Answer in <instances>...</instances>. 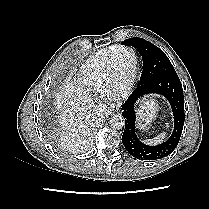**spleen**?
<instances>
[{"mask_svg": "<svg viewBox=\"0 0 209 209\" xmlns=\"http://www.w3.org/2000/svg\"><path fill=\"white\" fill-rule=\"evenodd\" d=\"M167 127H169V123H167ZM166 134L165 133H161L158 136L150 139L147 141V143L149 144H157L160 143L161 141H163V139L165 138Z\"/></svg>", "mask_w": 209, "mask_h": 209, "instance_id": "1", "label": "spleen"}]
</instances>
